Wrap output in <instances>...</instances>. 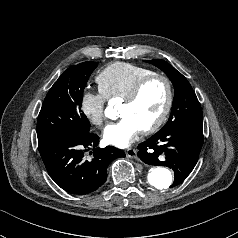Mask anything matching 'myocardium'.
<instances>
[{
	"instance_id": "1",
	"label": "myocardium",
	"mask_w": 238,
	"mask_h": 238,
	"mask_svg": "<svg viewBox=\"0 0 238 238\" xmlns=\"http://www.w3.org/2000/svg\"><path fill=\"white\" fill-rule=\"evenodd\" d=\"M155 80H160L164 83V85L166 87V92H167L166 102H165L164 108H163L161 114L159 115V117L152 124H150L148 127L141 129V133H143V134H150V133H153L156 130H158L163 125V123L166 121V119L171 111V108L173 105L174 93H173V86H172L170 79L165 75L157 74V73L149 75V76L141 79L134 86V88L128 94V96L123 100V103L127 104V105L135 103L139 99L143 90L151 82H153Z\"/></svg>"
}]
</instances>
